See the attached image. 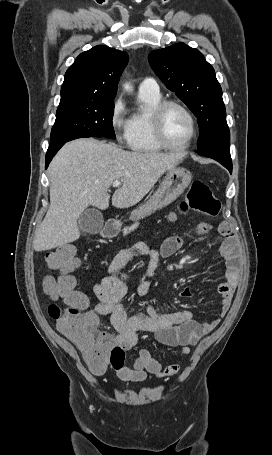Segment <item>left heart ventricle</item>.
I'll return each instance as SVG.
<instances>
[{"mask_svg": "<svg viewBox=\"0 0 272 455\" xmlns=\"http://www.w3.org/2000/svg\"><path fill=\"white\" fill-rule=\"evenodd\" d=\"M163 127L167 140L173 145L185 143L191 133V125L187 115L177 107L167 109Z\"/></svg>", "mask_w": 272, "mask_h": 455, "instance_id": "1", "label": "left heart ventricle"}]
</instances>
